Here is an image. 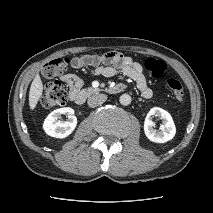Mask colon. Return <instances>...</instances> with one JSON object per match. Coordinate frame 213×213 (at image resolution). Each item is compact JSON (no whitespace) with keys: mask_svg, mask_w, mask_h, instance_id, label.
<instances>
[{"mask_svg":"<svg viewBox=\"0 0 213 213\" xmlns=\"http://www.w3.org/2000/svg\"><path fill=\"white\" fill-rule=\"evenodd\" d=\"M67 63V58H57L44 65L43 75L46 78V82L40 100L43 107H61L66 104L68 99L67 92L62 84L54 78L65 71ZM144 66L150 76L156 80L161 79L167 69V65L164 61L153 58L147 59ZM166 84L174 98L178 102H182L184 98V91L181 83L177 79L169 78L167 79Z\"/></svg>","mask_w":213,"mask_h":213,"instance_id":"1","label":"colon"}]
</instances>
